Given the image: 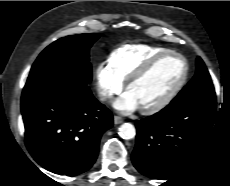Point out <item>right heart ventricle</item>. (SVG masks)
Here are the masks:
<instances>
[{"label":"right heart ventricle","instance_id":"right-heart-ventricle-1","mask_svg":"<svg viewBox=\"0 0 230 186\" xmlns=\"http://www.w3.org/2000/svg\"><path fill=\"white\" fill-rule=\"evenodd\" d=\"M167 50L164 47L148 44L123 45L111 52L108 65L125 82L148 59Z\"/></svg>","mask_w":230,"mask_h":186}]
</instances>
